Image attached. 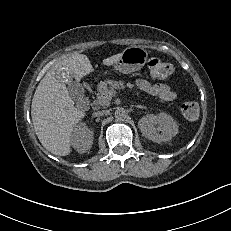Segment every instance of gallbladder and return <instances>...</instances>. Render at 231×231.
<instances>
[{
    "label": "gallbladder",
    "instance_id": "obj_1",
    "mask_svg": "<svg viewBox=\"0 0 231 231\" xmlns=\"http://www.w3.org/2000/svg\"><path fill=\"white\" fill-rule=\"evenodd\" d=\"M56 79L60 82L61 85L68 88V92L71 97L75 99H81L84 96L83 88L81 87L79 82L72 81V73L71 71L65 67H60L55 73Z\"/></svg>",
    "mask_w": 231,
    "mask_h": 231
}]
</instances>
